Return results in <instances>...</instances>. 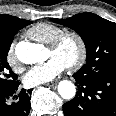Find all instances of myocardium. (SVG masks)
Returning <instances> with one entry per match:
<instances>
[{"instance_id":"myocardium-1","label":"myocardium","mask_w":116,"mask_h":116,"mask_svg":"<svg viewBox=\"0 0 116 116\" xmlns=\"http://www.w3.org/2000/svg\"><path fill=\"white\" fill-rule=\"evenodd\" d=\"M68 38H73L77 42L79 49L77 58L68 64V67L71 70H77L84 65L88 56L87 43L82 34L75 30H64L49 44V48L58 50Z\"/></svg>"}]
</instances>
